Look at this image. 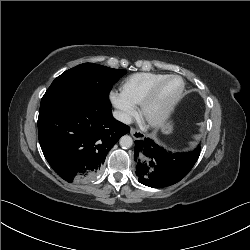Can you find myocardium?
Instances as JSON below:
<instances>
[{
	"label": "myocardium",
	"instance_id": "f54148a6",
	"mask_svg": "<svg viewBox=\"0 0 250 250\" xmlns=\"http://www.w3.org/2000/svg\"><path fill=\"white\" fill-rule=\"evenodd\" d=\"M171 79H179L182 83L181 89L177 93V95L168 103L166 108L158 115L151 116L149 114V109L151 105L154 103L159 90L161 87ZM185 90V81L179 75H167L156 83L152 85L147 94L144 96L142 101L139 104V117L140 119L149 127L159 128L167 123V121L171 118L177 104L183 96Z\"/></svg>",
	"mask_w": 250,
	"mask_h": 250
}]
</instances>
